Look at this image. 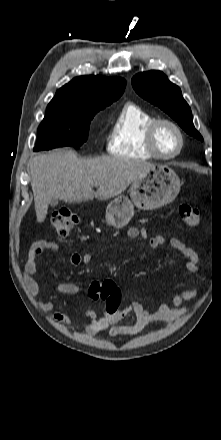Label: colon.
<instances>
[{"mask_svg":"<svg viewBox=\"0 0 221 440\" xmlns=\"http://www.w3.org/2000/svg\"><path fill=\"white\" fill-rule=\"evenodd\" d=\"M179 215L187 228H196L200 224V212L192 205H181L179 207ZM51 222L57 234L64 237L78 225L79 217L67 208H60L52 213ZM88 295L94 301H104L105 319H110V315H119L121 290L115 281L91 282Z\"/></svg>","mask_w":221,"mask_h":440,"instance_id":"1","label":"colon"}]
</instances>
